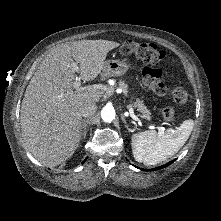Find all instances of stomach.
<instances>
[{"label": "stomach", "mask_w": 221, "mask_h": 221, "mask_svg": "<svg viewBox=\"0 0 221 221\" xmlns=\"http://www.w3.org/2000/svg\"><path fill=\"white\" fill-rule=\"evenodd\" d=\"M131 68L129 60L124 58L122 60H108L105 61L103 74L105 76H122Z\"/></svg>", "instance_id": "obj_1"}]
</instances>
